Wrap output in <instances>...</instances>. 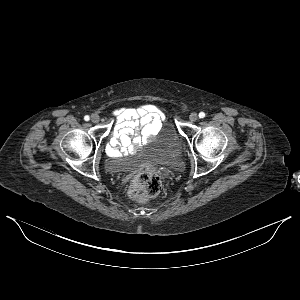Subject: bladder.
Returning <instances> with one entry per match:
<instances>
[{"mask_svg":"<svg viewBox=\"0 0 300 300\" xmlns=\"http://www.w3.org/2000/svg\"><path fill=\"white\" fill-rule=\"evenodd\" d=\"M147 156L162 165L177 169L183 163L184 153L181 143L173 128L168 127L165 132L153 137L145 147ZM128 167L125 159L110 158L106 162V169L111 173H119Z\"/></svg>","mask_w":300,"mask_h":300,"instance_id":"1","label":"bladder"}]
</instances>
